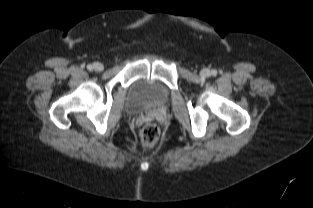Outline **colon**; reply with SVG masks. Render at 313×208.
Returning <instances> with one entry per match:
<instances>
[{"label": "colon", "instance_id": "5ec220e1", "mask_svg": "<svg viewBox=\"0 0 313 208\" xmlns=\"http://www.w3.org/2000/svg\"><path fill=\"white\" fill-rule=\"evenodd\" d=\"M160 129L154 123L145 124L140 131L141 143L144 148H151L158 141Z\"/></svg>", "mask_w": 313, "mask_h": 208}]
</instances>
